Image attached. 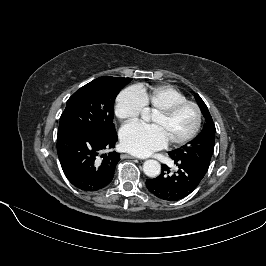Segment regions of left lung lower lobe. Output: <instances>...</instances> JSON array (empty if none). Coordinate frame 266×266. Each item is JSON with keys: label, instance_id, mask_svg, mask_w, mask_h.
I'll return each mask as SVG.
<instances>
[{"label": "left lung lower lobe", "instance_id": "1", "mask_svg": "<svg viewBox=\"0 0 266 266\" xmlns=\"http://www.w3.org/2000/svg\"><path fill=\"white\" fill-rule=\"evenodd\" d=\"M169 156L175 161L178 171L171 174L169 167L162 164L161 174L154 179H147L146 186L160 199L177 201L193 192L204 176L170 153Z\"/></svg>", "mask_w": 266, "mask_h": 266}]
</instances>
